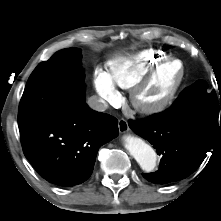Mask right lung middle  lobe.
Returning a JSON list of instances; mask_svg holds the SVG:
<instances>
[{"label":"right lung middle lobe","instance_id":"dd1d6c3e","mask_svg":"<svg viewBox=\"0 0 221 221\" xmlns=\"http://www.w3.org/2000/svg\"><path fill=\"white\" fill-rule=\"evenodd\" d=\"M81 49L67 48L40 63L30 75L19 105V130L54 116L85 93Z\"/></svg>","mask_w":221,"mask_h":221}]
</instances>
